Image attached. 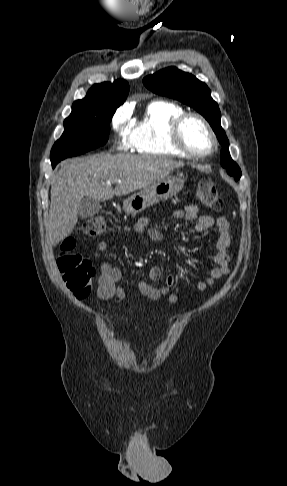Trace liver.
Listing matches in <instances>:
<instances>
[{
	"label": "liver",
	"instance_id": "1",
	"mask_svg": "<svg viewBox=\"0 0 287 486\" xmlns=\"http://www.w3.org/2000/svg\"><path fill=\"white\" fill-rule=\"evenodd\" d=\"M184 166L167 157L100 154L67 160L51 182L47 236L56 246L74 229L84 197L112 199L152 185ZM120 181L113 189L111 184Z\"/></svg>",
	"mask_w": 287,
	"mask_h": 486
}]
</instances>
